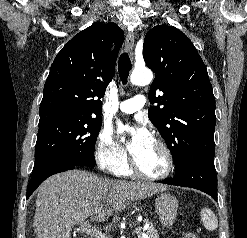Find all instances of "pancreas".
<instances>
[{"instance_id":"cf45deb5","label":"pancreas","mask_w":247,"mask_h":238,"mask_svg":"<svg viewBox=\"0 0 247 238\" xmlns=\"http://www.w3.org/2000/svg\"><path fill=\"white\" fill-rule=\"evenodd\" d=\"M148 224L149 227L147 228V232H146L147 238H159V235L154 225L151 222H148ZM138 238H144V236L140 233L138 235Z\"/></svg>"}]
</instances>
